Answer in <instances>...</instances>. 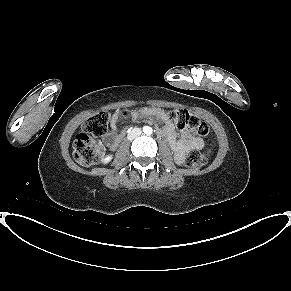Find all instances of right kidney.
<instances>
[{
	"label": "right kidney",
	"instance_id": "ca27d5eb",
	"mask_svg": "<svg viewBox=\"0 0 291 291\" xmlns=\"http://www.w3.org/2000/svg\"><path fill=\"white\" fill-rule=\"evenodd\" d=\"M111 156H107L103 159V163H108L111 160Z\"/></svg>",
	"mask_w": 291,
	"mask_h": 291
}]
</instances>
